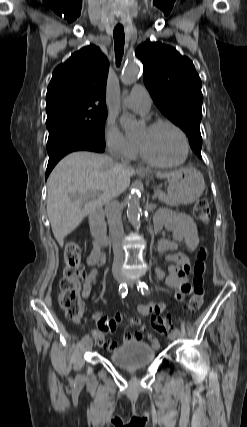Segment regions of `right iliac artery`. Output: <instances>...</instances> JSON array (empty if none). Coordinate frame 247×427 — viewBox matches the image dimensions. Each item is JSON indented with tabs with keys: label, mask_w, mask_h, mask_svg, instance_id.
<instances>
[{
	"label": "right iliac artery",
	"mask_w": 247,
	"mask_h": 427,
	"mask_svg": "<svg viewBox=\"0 0 247 427\" xmlns=\"http://www.w3.org/2000/svg\"><path fill=\"white\" fill-rule=\"evenodd\" d=\"M127 292H128L127 285H126V284H124V283H123V284H120V286H119V294H120L122 297H125V296L127 295ZM89 338H90L89 334H86V335L83 337L82 342L86 343V342L89 340Z\"/></svg>",
	"instance_id": "1"
}]
</instances>
